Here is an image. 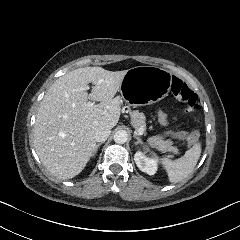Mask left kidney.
Wrapping results in <instances>:
<instances>
[{
	"instance_id": "obj_1",
	"label": "left kidney",
	"mask_w": 240,
	"mask_h": 240,
	"mask_svg": "<svg viewBox=\"0 0 240 240\" xmlns=\"http://www.w3.org/2000/svg\"><path fill=\"white\" fill-rule=\"evenodd\" d=\"M134 161L137 167L148 175H154L157 171L158 164L157 160L148 158L141 151H137L134 155Z\"/></svg>"
}]
</instances>
